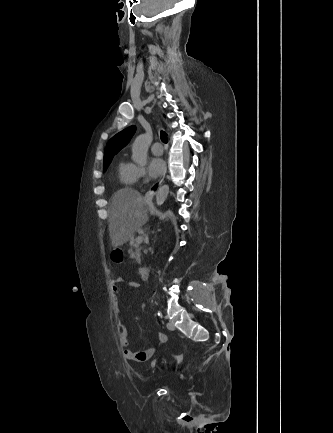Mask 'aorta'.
Instances as JSON below:
<instances>
[{
	"label": "aorta",
	"instance_id": "obj_1",
	"mask_svg": "<svg viewBox=\"0 0 333 433\" xmlns=\"http://www.w3.org/2000/svg\"><path fill=\"white\" fill-rule=\"evenodd\" d=\"M148 145L145 135H139L132 145V159L138 165H145L147 163ZM169 193V186L163 185L157 192L156 204L157 206L163 205Z\"/></svg>",
	"mask_w": 333,
	"mask_h": 433
}]
</instances>
